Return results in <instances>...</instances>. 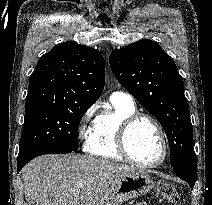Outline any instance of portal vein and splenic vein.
<instances>
[{
	"label": "portal vein and splenic vein",
	"instance_id": "18ae733b",
	"mask_svg": "<svg viewBox=\"0 0 212 205\" xmlns=\"http://www.w3.org/2000/svg\"><path fill=\"white\" fill-rule=\"evenodd\" d=\"M83 186V184L82 183H80L79 185H78V188H81Z\"/></svg>",
	"mask_w": 212,
	"mask_h": 205
}]
</instances>
